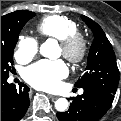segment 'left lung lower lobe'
Masks as SVG:
<instances>
[{"label":"left lung lower lobe","instance_id":"1","mask_svg":"<svg viewBox=\"0 0 121 121\" xmlns=\"http://www.w3.org/2000/svg\"><path fill=\"white\" fill-rule=\"evenodd\" d=\"M114 94L97 88H85L82 95L72 98L68 111L57 113L60 121H97L110 108Z\"/></svg>","mask_w":121,"mask_h":121}]
</instances>
